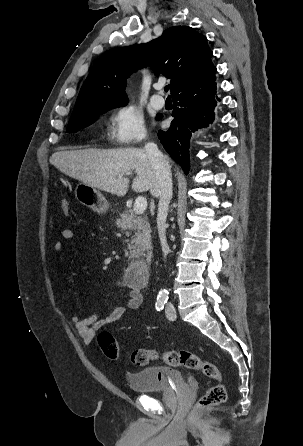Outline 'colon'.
<instances>
[{
    "mask_svg": "<svg viewBox=\"0 0 303 446\" xmlns=\"http://www.w3.org/2000/svg\"><path fill=\"white\" fill-rule=\"evenodd\" d=\"M63 212L68 215L70 206L67 200L61 201ZM97 342L104 355L117 360L120 356L119 345L116 338L109 332H101L97 337ZM131 362L137 366H144L152 361L161 359L171 366H181L191 370H200L206 377L214 380L206 393H204L196 403L195 411L206 409L223 403L226 399V387L223 383L222 373L216 365L201 359L195 353L188 350L168 351L159 354L153 349H137L131 353Z\"/></svg>",
    "mask_w": 303,
    "mask_h": 446,
    "instance_id": "colon-1",
    "label": "colon"
}]
</instances>
